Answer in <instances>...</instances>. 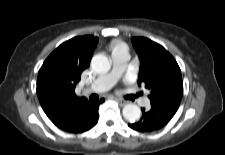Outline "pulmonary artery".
<instances>
[{
	"mask_svg": "<svg viewBox=\"0 0 225 155\" xmlns=\"http://www.w3.org/2000/svg\"><path fill=\"white\" fill-rule=\"evenodd\" d=\"M113 67L112 70L97 78L90 88L87 89V92L100 93L110 89L124 74L126 70L127 63L130 59V54L127 47L122 46L117 49H114L111 54ZM141 105L147 106L150 103V100L147 97H143L140 100Z\"/></svg>",
	"mask_w": 225,
	"mask_h": 155,
	"instance_id": "1",
	"label": "pulmonary artery"
}]
</instances>
